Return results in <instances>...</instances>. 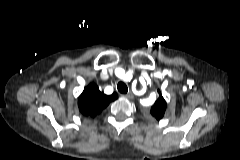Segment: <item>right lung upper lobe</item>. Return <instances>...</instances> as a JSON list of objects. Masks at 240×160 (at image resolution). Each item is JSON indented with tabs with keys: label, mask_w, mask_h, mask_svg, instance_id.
Here are the masks:
<instances>
[{
	"label": "right lung upper lobe",
	"mask_w": 240,
	"mask_h": 160,
	"mask_svg": "<svg viewBox=\"0 0 240 160\" xmlns=\"http://www.w3.org/2000/svg\"><path fill=\"white\" fill-rule=\"evenodd\" d=\"M118 95H105L94 83L89 84L78 99L80 112L85 116H95L100 113L110 102L116 100Z\"/></svg>",
	"instance_id": "1"
}]
</instances>
